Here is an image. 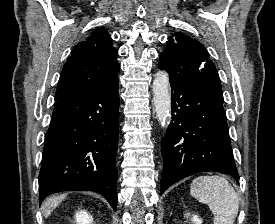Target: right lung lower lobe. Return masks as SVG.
Wrapping results in <instances>:
<instances>
[{"instance_id":"right-lung-lower-lobe-1","label":"right lung lower lobe","mask_w":275,"mask_h":224,"mask_svg":"<svg viewBox=\"0 0 275 224\" xmlns=\"http://www.w3.org/2000/svg\"><path fill=\"white\" fill-rule=\"evenodd\" d=\"M118 81L55 102L39 173L40 203L61 191H96L117 209Z\"/></svg>"}]
</instances>
